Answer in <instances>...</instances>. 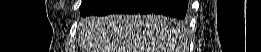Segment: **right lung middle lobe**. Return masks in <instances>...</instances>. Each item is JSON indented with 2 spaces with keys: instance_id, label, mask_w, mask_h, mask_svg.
<instances>
[{
  "instance_id": "1",
  "label": "right lung middle lobe",
  "mask_w": 261,
  "mask_h": 52,
  "mask_svg": "<svg viewBox=\"0 0 261 52\" xmlns=\"http://www.w3.org/2000/svg\"><path fill=\"white\" fill-rule=\"evenodd\" d=\"M105 0H83L81 6H80V12L81 16H84L86 13L92 11L99 5L103 4ZM168 20L177 25L185 24V20L183 19H177V18H168ZM183 20V21H182Z\"/></svg>"
}]
</instances>
